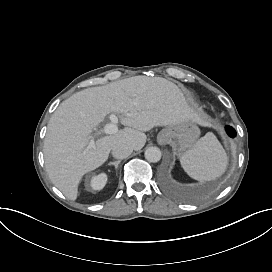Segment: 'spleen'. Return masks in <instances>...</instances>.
I'll return each mask as SVG.
<instances>
[{
	"label": "spleen",
	"mask_w": 272,
	"mask_h": 272,
	"mask_svg": "<svg viewBox=\"0 0 272 272\" xmlns=\"http://www.w3.org/2000/svg\"><path fill=\"white\" fill-rule=\"evenodd\" d=\"M226 154L216 140L208 133L185 149L180 157L184 170L198 180H211L225 169Z\"/></svg>",
	"instance_id": "3e777b00"
}]
</instances>
